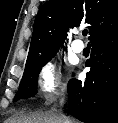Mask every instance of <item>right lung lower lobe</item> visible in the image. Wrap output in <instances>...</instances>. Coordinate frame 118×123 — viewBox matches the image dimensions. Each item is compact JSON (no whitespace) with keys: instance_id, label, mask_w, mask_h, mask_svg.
<instances>
[{"instance_id":"right-lung-lower-lobe-1","label":"right lung lower lobe","mask_w":118,"mask_h":123,"mask_svg":"<svg viewBox=\"0 0 118 123\" xmlns=\"http://www.w3.org/2000/svg\"><path fill=\"white\" fill-rule=\"evenodd\" d=\"M84 82L68 84L69 112L82 122L118 123V30L92 43Z\"/></svg>"}]
</instances>
